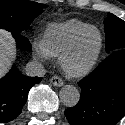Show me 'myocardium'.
Masks as SVG:
<instances>
[{"mask_svg":"<svg viewBox=\"0 0 125 125\" xmlns=\"http://www.w3.org/2000/svg\"><path fill=\"white\" fill-rule=\"evenodd\" d=\"M88 30H95L98 33V35H99L98 48H97L95 54L93 55V57L91 58V60L85 66H83L81 68H73L67 62L68 56L70 55L71 51L74 49V47H75L76 43L78 42L79 38L81 37V35ZM102 48H103L102 32L100 31V29L98 27L90 25V26L80 30L79 32H77L71 38V40L68 42V44L65 46V48L62 50V52L59 55V63L61 65L62 69L68 75H70L72 77L85 76L94 68L97 60L99 59Z\"/></svg>","mask_w":125,"mask_h":125,"instance_id":"myocardium-1","label":"myocardium"}]
</instances>
